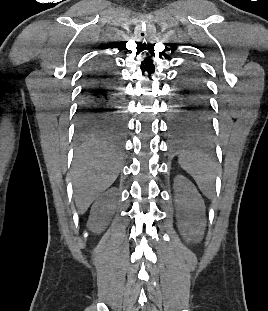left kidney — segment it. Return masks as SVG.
Listing matches in <instances>:
<instances>
[{
    "instance_id": "obj_1",
    "label": "left kidney",
    "mask_w": 268,
    "mask_h": 311,
    "mask_svg": "<svg viewBox=\"0 0 268 311\" xmlns=\"http://www.w3.org/2000/svg\"><path fill=\"white\" fill-rule=\"evenodd\" d=\"M174 188L182 211L177 224L179 231L187 241L198 242L204 234V202L194 185L181 175L175 177Z\"/></svg>"
}]
</instances>
